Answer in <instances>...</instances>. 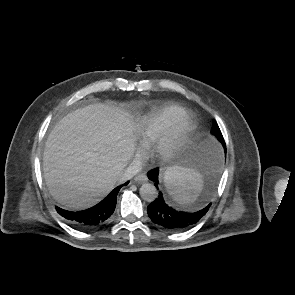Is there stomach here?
I'll list each match as a JSON object with an SVG mask.
<instances>
[{
  "label": "stomach",
  "mask_w": 295,
  "mask_h": 295,
  "mask_svg": "<svg viewBox=\"0 0 295 295\" xmlns=\"http://www.w3.org/2000/svg\"><path fill=\"white\" fill-rule=\"evenodd\" d=\"M204 148L201 144L192 143L186 150L172 163V167L190 169L200 172L204 168Z\"/></svg>",
  "instance_id": "0dacf381"
}]
</instances>
